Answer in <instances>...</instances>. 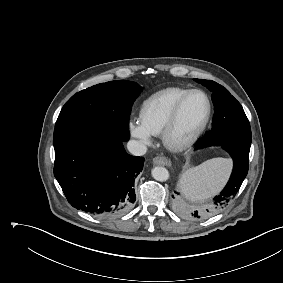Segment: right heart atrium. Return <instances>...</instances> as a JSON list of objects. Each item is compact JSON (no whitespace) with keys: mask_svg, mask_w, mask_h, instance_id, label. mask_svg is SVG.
<instances>
[{"mask_svg":"<svg viewBox=\"0 0 283 283\" xmlns=\"http://www.w3.org/2000/svg\"><path fill=\"white\" fill-rule=\"evenodd\" d=\"M128 128L131 136L141 145L148 146L151 144V134L144 128L140 121L130 119Z\"/></svg>","mask_w":283,"mask_h":283,"instance_id":"d8ad5b80","label":"right heart atrium"}]
</instances>
